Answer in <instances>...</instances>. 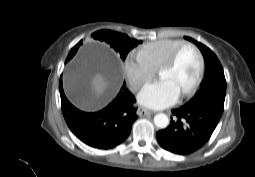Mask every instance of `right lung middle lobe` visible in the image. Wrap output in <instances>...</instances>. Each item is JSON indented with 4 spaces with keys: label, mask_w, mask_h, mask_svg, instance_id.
<instances>
[{
    "label": "right lung middle lobe",
    "mask_w": 255,
    "mask_h": 177,
    "mask_svg": "<svg viewBox=\"0 0 255 177\" xmlns=\"http://www.w3.org/2000/svg\"><path fill=\"white\" fill-rule=\"evenodd\" d=\"M92 37L101 41H105L111 47L115 49L116 52L119 53L122 60H125L128 52L141 43V41H137L135 39L129 38L127 35L114 32L111 30H100L92 34ZM82 44V41L78 43V47L75 51L77 52L79 46ZM74 53V55H75Z\"/></svg>",
    "instance_id": "1"
}]
</instances>
